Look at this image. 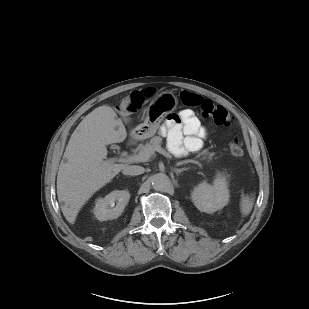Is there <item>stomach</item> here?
I'll list each match as a JSON object with an SVG mask.
<instances>
[{
  "label": "stomach",
  "mask_w": 309,
  "mask_h": 309,
  "mask_svg": "<svg viewBox=\"0 0 309 309\" xmlns=\"http://www.w3.org/2000/svg\"><path fill=\"white\" fill-rule=\"evenodd\" d=\"M177 104L178 100L172 92L164 91L158 94L147 107L144 122L132 130V136L137 139L153 136L161 121L176 109Z\"/></svg>",
  "instance_id": "1"
}]
</instances>
